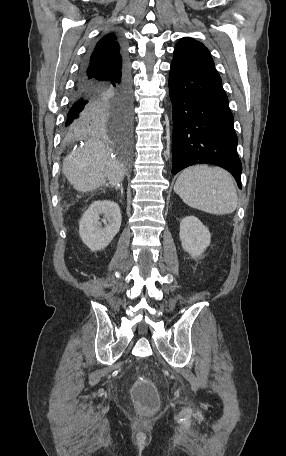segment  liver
Masks as SVG:
<instances>
[{"label": "liver", "mask_w": 286, "mask_h": 456, "mask_svg": "<svg viewBox=\"0 0 286 456\" xmlns=\"http://www.w3.org/2000/svg\"><path fill=\"white\" fill-rule=\"evenodd\" d=\"M63 174L74 189L90 192L105 185L119 187L125 175L123 165L111 157V149L99 141H88L63 161Z\"/></svg>", "instance_id": "6515ba94"}]
</instances>
